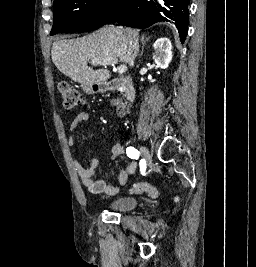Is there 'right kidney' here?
I'll return each instance as SVG.
<instances>
[{"label":"right kidney","mask_w":256,"mask_h":267,"mask_svg":"<svg viewBox=\"0 0 256 267\" xmlns=\"http://www.w3.org/2000/svg\"><path fill=\"white\" fill-rule=\"evenodd\" d=\"M153 48L155 50V62L158 68L166 70L172 60V46L170 40H168V38H158L155 44H153Z\"/></svg>","instance_id":"obj_1"}]
</instances>
